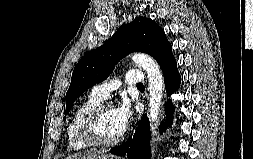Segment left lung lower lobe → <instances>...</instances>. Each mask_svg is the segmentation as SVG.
I'll use <instances>...</instances> for the list:
<instances>
[{
    "label": "left lung lower lobe",
    "mask_w": 253,
    "mask_h": 159,
    "mask_svg": "<svg viewBox=\"0 0 253 159\" xmlns=\"http://www.w3.org/2000/svg\"><path fill=\"white\" fill-rule=\"evenodd\" d=\"M161 69L165 77L167 93L170 95L179 88L181 80L177 70V63L173 55L163 64V66H161ZM166 110L169 116L161 129H164L165 125L171 123L174 107L170 100L168 101ZM149 135V121L145 114L138 125L133 138L122 146L112 148L111 152L119 156L127 155L128 159H150Z\"/></svg>",
    "instance_id": "1"
}]
</instances>
